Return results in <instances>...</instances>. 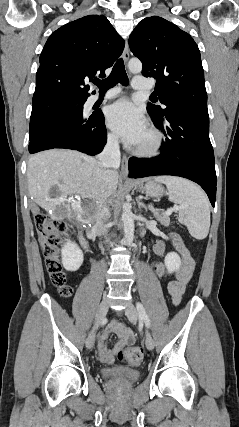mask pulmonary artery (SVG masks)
Instances as JSON below:
<instances>
[{
    "label": "pulmonary artery",
    "mask_w": 239,
    "mask_h": 427,
    "mask_svg": "<svg viewBox=\"0 0 239 427\" xmlns=\"http://www.w3.org/2000/svg\"><path fill=\"white\" fill-rule=\"evenodd\" d=\"M132 87L137 91H149L153 89V85L142 76L134 77ZM119 92L120 90L118 88H114L109 90L102 96H99V95L91 96L89 99V104H94L95 102L100 100L111 99L113 97H116L119 94Z\"/></svg>",
    "instance_id": "1"
}]
</instances>
